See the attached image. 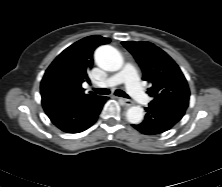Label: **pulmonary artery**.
<instances>
[{"mask_svg": "<svg viewBox=\"0 0 222 187\" xmlns=\"http://www.w3.org/2000/svg\"><path fill=\"white\" fill-rule=\"evenodd\" d=\"M120 83H125L129 94L139 103L148 104L150 99L141 88L139 76L136 69L131 64H126L124 68L102 82H97V86L107 87Z\"/></svg>", "mask_w": 222, "mask_h": 187, "instance_id": "e3ab8cb5", "label": "pulmonary artery"}]
</instances>
